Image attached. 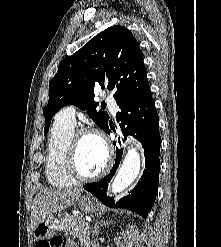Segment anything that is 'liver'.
Segmentation results:
<instances>
[{
    "instance_id": "6515ba94",
    "label": "liver",
    "mask_w": 221,
    "mask_h": 247,
    "mask_svg": "<svg viewBox=\"0 0 221 247\" xmlns=\"http://www.w3.org/2000/svg\"><path fill=\"white\" fill-rule=\"evenodd\" d=\"M82 189L43 188L34 198L32 205L33 229L47 216L63 210L76 202L81 196Z\"/></svg>"
}]
</instances>
